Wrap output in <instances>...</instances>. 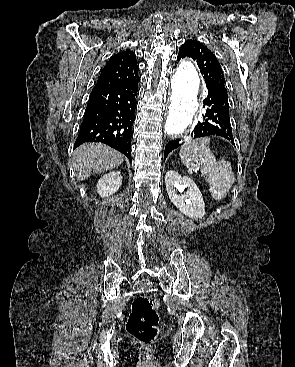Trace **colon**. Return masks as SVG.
<instances>
[{
  "label": "colon",
  "instance_id": "colon-1",
  "mask_svg": "<svg viewBox=\"0 0 295 367\" xmlns=\"http://www.w3.org/2000/svg\"><path fill=\"white\" fill-rule=\"evenodd\" d=\"M159 301L153 296H139L134 299L126 329L140 343L150 346L158 336Z\"/></svg>",
  "mask_w": 295,
  "mask_h": 367
}]
</instances>
